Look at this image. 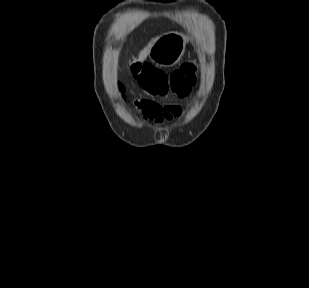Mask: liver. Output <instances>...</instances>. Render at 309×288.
Segmentation results:
<instances>
[{
  "label": "liver",
  "mask_w": 309,
  "mask_h": 288,
  "mask_svg": "<svg viewBox=\"0 0 309 288\" xmlns=\"http://www.w3.org/2000/svg\"><path fill=\"white\" fill-rule=\"evenodd\" d=\"M156 41V39H154L152 42H150L148 44V46H146L140 53H139V57H138V61H144L146 59V57L149 55L150 49L153 45V43Z\"/></svg>",
  "instance_id": "liver-1"
}]
</instances>
